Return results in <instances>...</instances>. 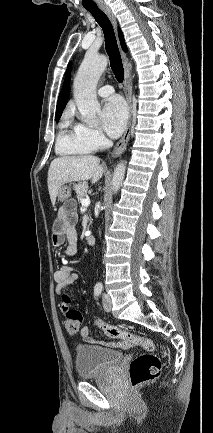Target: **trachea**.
<instances>
[{
	"instance_id": "trachea-1",
	"label": "trachea",
	"mask_w": 213,
	"mask_h": 433,
	"mask_svg": "<svg viewBox=\"0 0 213 433\" xmlns=\"http://www.w3.org/2000/svg\"><path fill=\"white\" fill-rule=\"evenodd\" d=\"M86 9L92 14L97 23L101 26L104 37H105V49L109 56L111 69L118 80L122 82L124 79V68L118 49L115 33L113 26L104 12H102L97 6L86 7Z\"/></svg>"
}]
</instances>
